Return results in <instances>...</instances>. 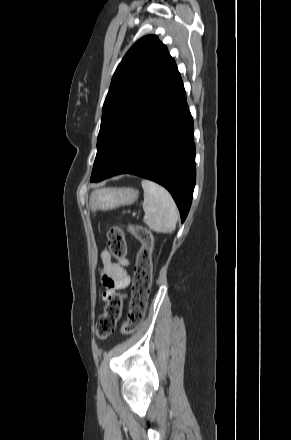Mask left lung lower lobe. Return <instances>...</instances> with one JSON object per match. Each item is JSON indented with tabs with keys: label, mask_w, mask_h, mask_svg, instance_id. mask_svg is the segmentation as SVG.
Instances as JSON below:
<instances>
[{
	"label": "left lung lower lobe",
	"mask_w": 291,
	"mask_h": 440,
	"mask_svg": "<svg viewBox=\"0 0 291 440\" xmlns=\"http://www.w3.org/2000/svg\"><path fill=\"white\" fill-rule=\"evenodd\" d=\"M126 173L164 186L184 222L192 202L196 169L193 120L178 71L132 123L103 169L90 181Z\"/></svg>",
	"instance_id": "obj_1"
}]
</instances>
